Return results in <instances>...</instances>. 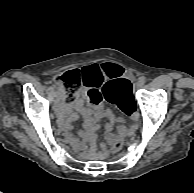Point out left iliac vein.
I'll return each instance as SVG.
<instances>
[{"label": "left iliac vein", "instance_id": "1", "mask_svg": "<svg viewBox=\"0 0 194 193\" xmlns=\"http://www.w3.org/2000/svg\"><path fill=\"white\" fill-rule=\"evenodd\" d=\"M135 85H136V87L138 88V87H140L142 84H141L140 81H137Z\"/></svg>", "mask_w": 194, "mask_h": 193}]
</instances>
